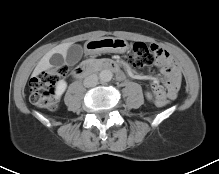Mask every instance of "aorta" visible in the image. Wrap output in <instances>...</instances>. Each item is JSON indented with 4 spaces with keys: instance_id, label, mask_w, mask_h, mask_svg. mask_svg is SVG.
<instances>
[{
    "instance_id": "762f6f07",
    "label": "aorta",
    "mask_w": 219,
    "mask_h": 174,
    "mask_svg": "<svg viewBox=\"0 0 219 174\" xmlns=\"http://www.w3.org/2000/svg\"><path fill=\"white\" fill-rule=\"evenodd\" d=\"M113 77V73L110 71V70H102L100 73H99V79L102 81V82H109Z\"/></svg>"
}]
</instances>
